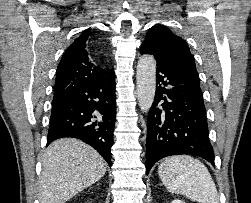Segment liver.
<instances>
[{"label":"liver","mask_w":251,"mask_h":203,"mask_svg":"<svg viewBox=\"0 0 251 203\" xmlns=\"http://www.w3.org/2000/svg\"><path fill=\"white\" fill-rule=\"evenodd\" d=\"M42 166L40 203H65L106 172V162L99 153L74 138L51 143L44 153Z\"/></svg>","instance_id":"1"}]
</instances>
